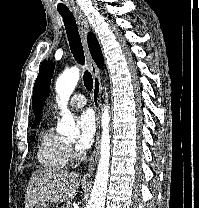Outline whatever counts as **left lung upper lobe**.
I'll return each instance as SVG.
<instances>
[{"mask_svg": "<svg viewBox=\"0 0 199 208\" xmlns=\"http://www.w3.org/2000/svg\"><path fill=\"white\" fill-rule=\"evenodd\" d=\"M54 70V64L52 61H44L39 69L38 77L34 84L32 106L33 111L36 114V120L33 126L37 125V120L40 118L42 109L49 95L50 81Z\"/></svg>", "mask_w": 199, "mask_h": 208, "instance_id": "1", "label": "left lung upper lobe"}]
</instances>
